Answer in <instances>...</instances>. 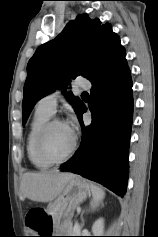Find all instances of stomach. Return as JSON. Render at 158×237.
Segmentation results:
<instances>
[{"label": "stomach", "instance_id": "obj_1", "mask_svg": "<svg viewBox=\"0 0 158 237\" xmlns=\"http://www.w3.org/2000/svg\"><path fill=\"white\" fill-rule=\"evenodd\" d=\"M89 194L90 187L87 182L76 176L67 183L61 194L49 203L46 212L52 217L56 231L61 220L71 218L76 207L86 200Z\"/></svg>", "mask_w": 158, "mask_h": 237}]
</instances>
